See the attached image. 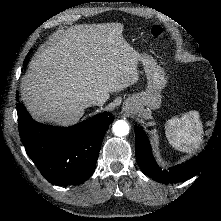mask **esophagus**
<instances>
[{
  "label": "esophagus",
  "mask_w": 221,
  "mask_h": 221,
  "mask_svg": "<svg viewBox=\"0 0 221 221\" xmlns=\"http://www.w3.org/2000/svg\"><path fill=\"white\" fill-rule=\"evenodd\" d=\"M123 110H124V112H125L127 115H131V114H133V113L135 112L134 107H133L132 105H130V104L124 106Z\"/></svg>",
  "instance_id": "obj_1"
}]
</instances>
